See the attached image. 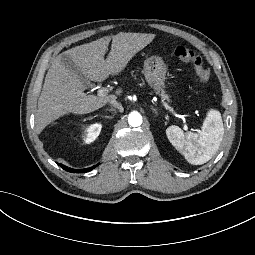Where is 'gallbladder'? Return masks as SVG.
<instances>
[{
	"label": "gallbladder",
	"mask_w": 255,
	"mask_h": 255,
	"mask_svg": "<svg viewBox=\"0 0 255 255\" xmlns=\"http://www.w3.org/2000/svg\"><path fill=\"white\" fill-rule=\"evenodd\" d=\"M61 62L74 74L78 75L79 78H81V70L80 68L75 64V62L72 60V58L65 53L60 54ZM86 87H89L90 85H87L85 83Z\"/></svg>",
	"instance_id": "1"
}]
</instances>
